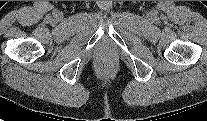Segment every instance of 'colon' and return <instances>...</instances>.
Masks as SVG:
<instances>
[{
  "instance_id": "colon-1",
  "label": "colon",
  "mask_w": 207,
  "mask_h": 121,
  "mask_svg": "<svg viewBox=\"0 0 207 121\" xmlns=\"http://www.w3.org/2000/svg\"><path fill=\"white\" fill-rule=\"evenodd\" d=\"M113 64V59L110 55L105 54L99 60V65L103 68H109Z\"/></svg>"
}]
</instances>
